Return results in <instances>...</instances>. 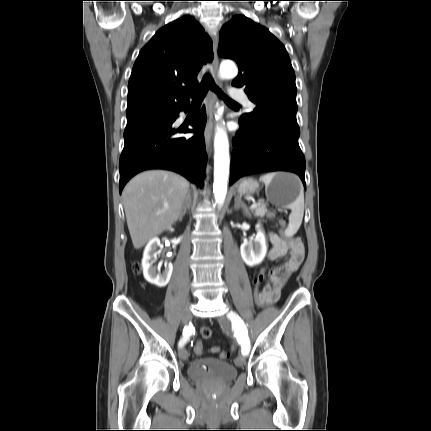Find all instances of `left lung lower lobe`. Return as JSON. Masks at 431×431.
Instances as JSON below:
<instances>
[{
	"label": "left lung lower lobe",
	"mask_w": 431,
	"mask_h": 431,
	"mask_svg": "<svg viewBox=\"0 0 431 431\" xmlns=\"http://www.w3.org/2000/svg\"><path fill=\"white\" fill-rule=\"evenodd\" d=\"M240 129L234 139L230 184L260 172H294L305 184V158L298 144L299 126L266 119Z\"/></svg>",
	"instance_id": "1"
}]
</instances>
